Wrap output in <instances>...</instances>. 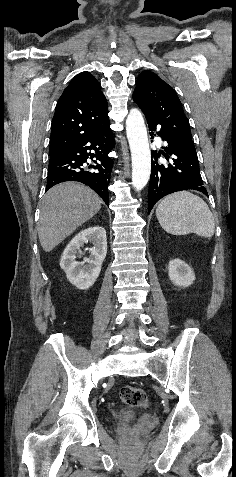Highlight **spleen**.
<instances>
[{"label":"spleen","mask_w":236,"mask_h":477,"mask_svg":"<svg viewBox=\"0 0 236 477\" xmlns=\"http://www.w3.org/2000/svg\"><path fill=\"white\" fill-rule=\"evenodd\" d=\"M161 227L172 235L195 233L211 238L215 231L214 217L206 202L188 191L165 197L156 209Z\"/></svg>","instance_id":"spleen-1"}]
</instances>
